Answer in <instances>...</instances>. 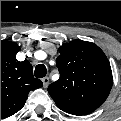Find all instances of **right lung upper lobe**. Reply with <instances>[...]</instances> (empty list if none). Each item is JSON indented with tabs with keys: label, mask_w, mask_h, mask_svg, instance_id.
Masks as SVG:
<instances>
[{
	"label": "right lung upper lobe",
	"mask_w": 121,
	"mask_h": 121,
	"mask_svg": "<svg viewBox=\"0 0 121 121\" xmlns=\"http://www.w3.org/2000/svg\"><path fill=\"white\" fill-rule=\"evenodd\" d=\"M19 50L18 44L1 40V118L18 112L28 93L43 85L34 78L32 65L27 60H16Z\"/></svg>",
	"instance_id": "obj_1"
}]
</instances>
